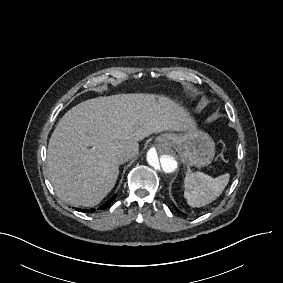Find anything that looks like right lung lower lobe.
Returning a JSON list of instances; mask_svg holds the SVG:
<instances>
[{
    "mask_svg": "<svg viewBox=\"0 0 283 283\" xmlns=\"http://www.w3.org/2000/svg\"><path fill=\"white\" fill-rule=\"evenodd\" d=\"M116 198V195H114L108 202H106L103 206H101L100 207V209H106L111 203H112V201L114 200ZM78 211H83V212H89V210H87V209H84V210H82V209H77ZM94 211H96V209H91L90 210V212H94Z\"/></svg>",
    "mask_w": 283,
    "mask_h": 283,
    "instance_id": "right-lung-lower-lobe-1",
    "label": "right lung lower lobe"
}]
</instances>
